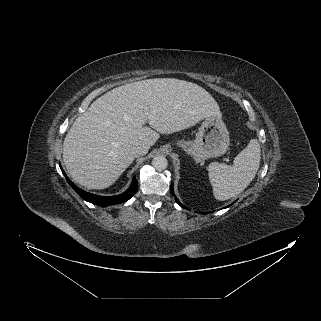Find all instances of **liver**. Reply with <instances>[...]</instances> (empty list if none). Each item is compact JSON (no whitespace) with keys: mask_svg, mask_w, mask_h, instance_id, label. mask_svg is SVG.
Here are the masks:
<instances>
[{"mask_svg":"<svg viewBox=\"0 0 321 321\" xmlns=\"http://www.w3.org/2000/svg\"><path fill=\"white\" fill-rule=\"evenodd\" d=\"M208 116L222 117L215 99L195 83L155 78L125 84L96 99L74 121L63 143L64 164L80 185L104 189L134 161L133 146H153L159 134Z\"/></svg>","mask_w":321,"mask_h":321,"instance_id":"6515ba94","label":"liver"}]
</instances>
